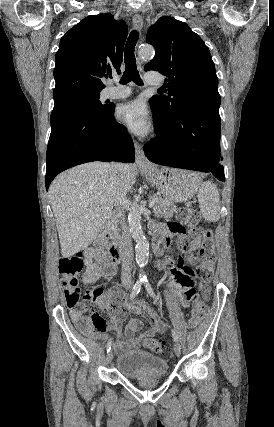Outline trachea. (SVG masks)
Returning <instances> with one entry per match:
<instances>
[{"instance_id":"3493384b","label":"trachea","mask_w":274,"mask_h":427,"mask_svg":"<svg viewBox=\"0 0 274 427\" xmlns=\"http://www.w3.org/2000/svg\"><path fill=\"white\" fill-rule=\"evenodd\" d=\"M138 37H139L138 30H133L130 33L128 40L126 42V47L124 52L125 71L120 80L121 84H127L132 80L135 84L142 85V80L137 70L136 59L134 55L135 45L138 41Z\"/></svg>"}]
</instances>
